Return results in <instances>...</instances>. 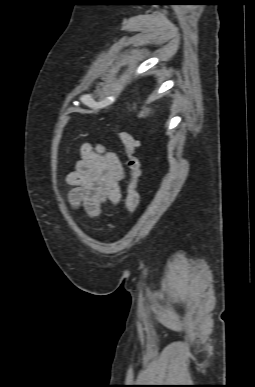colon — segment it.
I'll return each mask as SVG.
<instances>
[{
    "label": "colon",
    "instance_id": "1",
    "mask_svg": "<svg viewBox=\"0 0 255 387\" xmlns=\"http://www.w3.org/2000/svg\"><path fill=\"white\" fill-rule=\"evenodd\" d=\"M119 138L125 150L127 158L126 165L130 175L127 186L125 206L127 212L129 214H132L135 212L139 205V193L137 191V185L141 171L139 160L135 155V151L138 146V141L133 135L127 132H121Z\"/></svg>",
    "mask_w": 255,
    "mask_h": 387
}]
</instances>
